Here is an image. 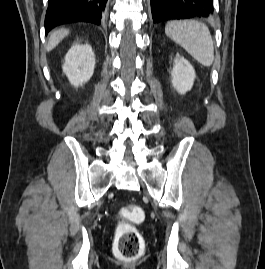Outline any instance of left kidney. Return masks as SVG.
I'll use <instances>...</instances> for the list:
<instances>
[{
	"label": "left kidney",
	"instance_id": "1",
	"mask_svg": "<svg viewBox=\"0 0 265 269\" xmlns=\"http://www.w3.org/2000/svg\"><path fill=\"white\" fill-rule=\"evenodd\" d=\"M172 85L179 94H185L191 90L196 73L193 66L179 54L176 55L171 71Z\"/></svg>",
	"mask_w": 265,
	"mask_h": 269
}]
</instances>
